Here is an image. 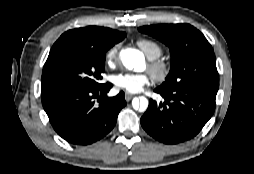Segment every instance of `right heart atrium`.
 Wrapping results in <instances>:
<instances>
[{
	"mask_svg": "<svg viewBox=\"0 0 254 174\" xmlns=\"http://www.w3.org/2000/svg\"><path fill=\"white\" fill-rule=\"evenodd\" d=\"M119 45H113L110 47L106 53H105V62L108 66H111L115 63L116 58H117V53H118Z\"/></svg>",
	"mask_w": 254,
	"mask_h": 174,
	"instance_id": "d8ad5b80",
	"label": "right heart atrium"
}]
</instances>
